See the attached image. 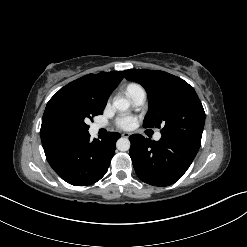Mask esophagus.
<instances>
[{"mask_svg": "<svg viewBox=\"0 0 247 247\" xmlns=\"http://www.w3.org/2000/svg\"><path fill=\"white\" fill-rule=\"evenodd\" d=\"M131 134L129 132H123L122 136L128 138Z\"/></svg>", "mask_w": 247, "mask_h": 247, "instance_id": "esophagus-1", "label": "esophagus"}]
</instances>
